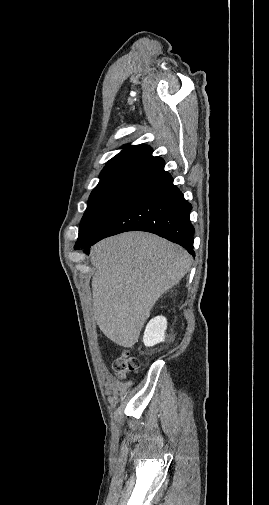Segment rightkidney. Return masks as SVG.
Here are the masks:
<instances>
[{
    "instance_id": "1",
    "label": "right kidney",
    "mask_w": 269,
    "mask_h": 505,
    "mask_svg": "<svg viewBox=\"0 0 269 505\" xmlns=\"http://www.w3.org/2000/svg\"><path fill=\"white\" fill-rule=\"evenodd\" d=\"M167 320L163 316H157L147 324L143 342L146 346H153L162 341L165 337Z\"/></svg>"
}]
</instances>
